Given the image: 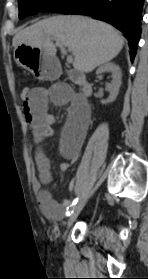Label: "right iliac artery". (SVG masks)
Listing matches in <instances>:
<instances>
[{"label":"right iliac artery","mask_w":148,"mask_h":279,"mask_svg":"<svg viewBox=\"0 0 148 279\" xmlns=\"http://www.w3.org/2000/svg\"><path fill=\"white\" fill-rule=\"evenodd\" d=\"M78 200H79L78 197L73 200L71 205L67 208L66 216H70L71 215V213L73 212V209H74L75 205L77 204Z\"/></svg>","instance_id":"right-iliac-artery-1"}]
</instances>
